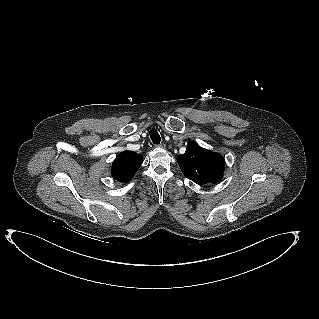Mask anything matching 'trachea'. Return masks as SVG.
<instances>
[{"mask_svg":"<svg viewBox=\"0 0 319 319\" xmlns=\"http://www.w3.org/2000/svg\"><path fill=\"white\" fill-rule=\"evenodd\" d=\"M150 138H151V140H152V142L154 143V144H160V142H161V138H160V135H159V133L157 132V130L156 129H151L150 130Z\"/></svg>","mask_w":319,"mask_h":319,"instance_id":"1","label":"trachea"}]
</instances>
